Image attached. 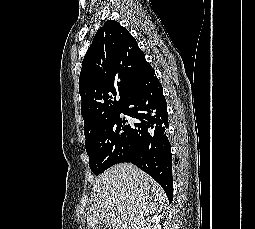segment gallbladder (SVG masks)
Here are the masks:
<instances>
[{"label": "gallbladder", "mask_w": 255, "mask_h": 229, "mask_svg": "<svg viewBox=\"0 0 255 229\" xmlns=\"http://www.w3.org/2000/svg\"><path fill=\"white\" fill-rule=\"evenodd\" d=\"M101 229H107V228L103 227V228H101Z\"/></svg>", "instance_id": "1"}]
</instances>
